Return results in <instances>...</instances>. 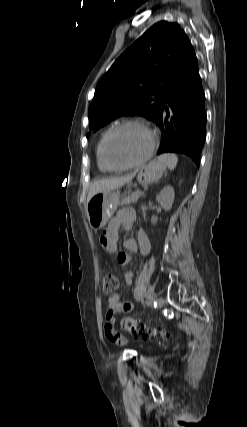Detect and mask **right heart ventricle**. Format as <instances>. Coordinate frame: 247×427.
Returning <instances> with one entry per match:
<instances>
[{
  "label": "right heart ventricle",
  "instance_id": "right-heart-ventricle-1",
  "mask_svg": "<svg viewBox=\"0 0 247 427\" xmlns=\"http://www.w3.org/2000/svg\"><path fill=\"white\" fill-rule=\"evenodd\" d=\"M110 129L106 130L102 136L99 138L96 148H95V156H96V162H97V166L99 168V170L103 173H109L112 172V170L105 164L103 158H102V142L103 139L105 137V135L107 134V132Z\"/></svg>",
  "mask_w": 247,
  "mask_h": 427
}]
</instances>
